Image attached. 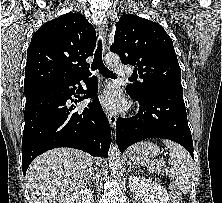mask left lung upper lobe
Segmentation results:
<instances>
[{
  "mask_svg": "<svg viewBox=\"0 0 222 203\" xmlns=\"http://www.w3.org/2000/svg\"><path fill=\"white\" fill-rule=\"evenodd\" d=\"M110 50L123 64L135 66L134 72L142 79L126 87L130 96L142 98L160 88L183 91L173 42L158 23L130 14L121 16Z\"/></svg>",
  "mask_w": 222,
  "mask_h": 203,
  "instance_id": "left-lung-upper-lobe-1",
  "label": "left lung upper lobe"
}]
</instances>
